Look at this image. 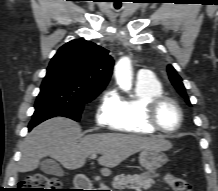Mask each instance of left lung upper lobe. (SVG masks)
Returning <instances> with one entry per match:
<instances>
[{"instance_id": "5c2ea615", "label": "left lung upper lobe", "mask_w": 218, "mask_h": 191, "mask_svg": "<svg viewBox=\"0 0 218 191\" xmlns=\"http://www.w3.org/2000/svg\"><path fill=\"white\" fill-rule=\"evenodd\" d=\"M167 70H168V75H169V78L172 84L177 89V91L180 93V95H182L186 99V102L190 105V101L185 92V87L182 83L181 77L177 74L176 70L171 65H168Z\"/></svg>"}]
</instances>
